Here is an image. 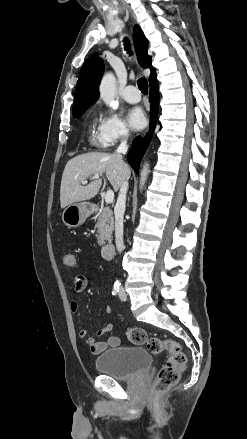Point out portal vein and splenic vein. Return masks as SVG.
<instances>
[{"label": "portal vein and splenic vein", "instance_id": "1", "mask_svg": "<svg viewBox=\"0 0 247 439\" xmlns=\"http://www.w3.org/2000/svg\"><path fill=\"white\" fill-rule=\"evenodd\" d=\"M100 177L99 174H95L93 175L90 180H94V179H98ZM82 184H87V181H82ZM114 200V192L112 190H107L106 195H105V202L106 203H111Z\"/></svg>", "mask_w": 247, "mask_h": 439}]
</instances>
